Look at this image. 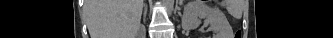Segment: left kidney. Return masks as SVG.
<instances>
[{
  "mask_svg": "<svg viewBox=\"0 0 333 38\" xmlns=\"http://www.w3.org/2000/svg\"><path fill=\"white\" fill-rule=\"evenodd\" d=\"M202 20L209 25L215 33L213 38H231L232 27L225 14L218 8H212L203 0H192L184 7L182 28L184 30L196 29Z\"/></svg>",
  "mask_w": 333,
  "mask_h": 38,
  "instance_id": "obj_1",
  "label": "left kidney"
}]
</instances>
